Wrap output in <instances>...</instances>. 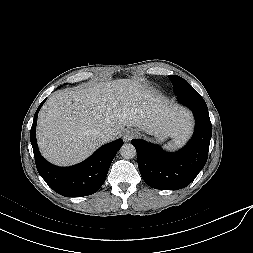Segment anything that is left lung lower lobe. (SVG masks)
<instances>
[{"label":"left lung lower lobe","mask_w":253,"mask_h":253,"mask_svg":"<svg viewBox=\"0 0 253 253\" xmlns=\"http://www.w3.org/2000/svg\"><path fill=\"white\" fill-rule=\"evenodd\" d=\"M195 116L192 139L176 153H167L159 146L143 140H132L137 151L138 167L145 183L161 190L181 189L188 186L203 169L209 151L212 125L207 105L196 91L178 96Z\"/></svg>","instance_id":"obj_1"}]
</instances>
